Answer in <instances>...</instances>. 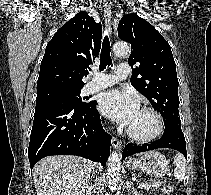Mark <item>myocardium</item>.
Listing matches in <instances>:
<instances>
[{"mask_svg": "<svg viewBox=\"0 0 211 195\" xmlns=\"http://www.w3.org/2000/svg\"><path fill=\"white\" fill-rule=\"evenodd\" d=\"M140 110L149 112L156 118L157 129L152 134H150L148 136H139V135L134 134L128 128L126 131L127 136L129 137V139H131L132 141L137 142V143H148V142L154 141L157 138H159L164 132V127H165L164 119H163L161 113L153 107L143 106L140 108Z\"/></svg>", "mask_w": 211, "mask_h": 195, "instance_id": "1", "label": "myocardium"}]
</instances>
